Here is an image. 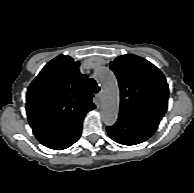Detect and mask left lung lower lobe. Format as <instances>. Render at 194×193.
Listing matches in <instances>:
<instances>
[{"label": "left lung lower lobe", "mask_w": 194, "mask_h": 193, "mask_svg": "<svg viewBox=\"0 0 194 193\" xmlns=\"http://www.w3.org/2000/svg\"><path fill=\"white\" fill-rule=\"evenodd\" d=\"M157 127L140 119L119 114L117 122L106 129L115 142L122 145H136L150 138Z\"/></svg>", "instance_id": "0a47b994"}]
</instances>
